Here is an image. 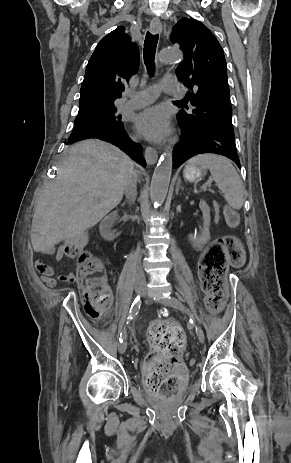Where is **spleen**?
Returning a JSON list of instances; mask_svg holds the SVG:
<instances>
[{"label":"spleen","mask_w":291,"mask_h":463,"mask_svg":"<svg viewBox=\"0 0 291 463\" xmlns=\"http://www.w3.org/2000/svg\"><path fill=\"white\" fill-rule=\"evenodd\" d=\"M189 164L208 168L229 206L236 210L241 209L244 204V185L227 158L215 154H202L190 159Z\"/></svg>","instance_id":"spleen-1"}]
</instances>
